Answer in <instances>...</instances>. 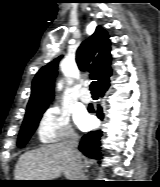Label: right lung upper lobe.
Instances as JSON below:
<instances>
[{"mask_svg":"<svg viewBox=\"0 0 160 187\" xmlns=\"http://www.w3.org/2000/svg\"><path fill=\"white\" fill-rule=\"evenodd\" d=\"M61 58L62 56L42 67L35 76L26 113L47 109L54 96V81ZM76 62L80 70L91 73L90 77L97 80V84L110 77V40L101 26H97L94 34L80 45Z\"/></svg>","mask_w":160,"mask_h":187,"instance_id":"obj_1","label":"right lung upper lobe"}]
</instances>
